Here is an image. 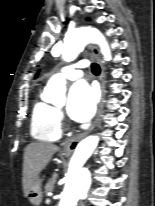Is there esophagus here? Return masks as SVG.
Returning a JSON list of instances; mask_svg holds the SVG:
<instances>
[{
  "label": "esophagus",
  "instance_id": "1",
  "mask_svg": "<svg viewBox=\"0 0 155 206\" xmlns=\"http://www.w3.org/2000/svg\"><path fill=\"white\" fill-rule=\"evenodd\" d=\"M91 50L92 53L94 55V57L96 58V60L98 61L99 65H100V69H101V73H100V88H101V98H103L105 96V68L103 66V62L100 59L99 56V51L98 48L96 46H91ZM100 114H101V107H99L98 112H97V116L93 122V124L84 132L73 136L69 139H67L65 142H63L62 144V150L64 153L66 154H71L77 147L78 143L90 132L92 131L96 124L98 123V120L100 118Z\"/></svg>",
  "mask_w": 155,
  "mask_h": 206
}]
</instances>
